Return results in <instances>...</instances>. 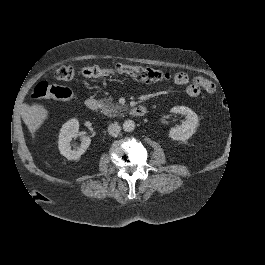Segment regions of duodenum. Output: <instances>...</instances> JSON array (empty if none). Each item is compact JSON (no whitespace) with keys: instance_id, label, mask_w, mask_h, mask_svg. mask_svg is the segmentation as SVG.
<instances>
[{"instance_id":"1","label":"duodenum","mask_w":265,"mask_h":265,"mask_svg":"<svg viewBox=\"0 0 265 265\" xmlns=\"http://www.w3.org/2000/svg\"><path fill=\"white\" fill-rule=\"evenodd\" d=\"M85 106L91 111H97L99 109V102L92 97L85 100ZM146 107L143 105H137L131 110V115L135 117H140L146 114Z\"/></svg>"}]
</instances>
